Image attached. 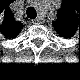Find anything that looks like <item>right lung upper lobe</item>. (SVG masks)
<instances>
[{"label":"right lung upper lobe","mask_w":80,"mask_h":80,"mask_svg":"<svg viewBox=\"0 0 80 80\" xmlns=\"http://www.w3.org/2000/svg\"><path fill=\"white\" fill-rule=\"evenodd\" d=\"M2 29L5 35L15 37L20 31L21 25L13 21L10 12H5Z\"/></svg>","instance_id":"cb5924a9"}]
</instances>
